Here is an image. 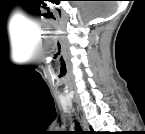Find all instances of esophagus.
Masks as SVG:
<instances>
[{
	"mask_svg": "<svg viewBox=\"0 0 145 134\" xmlns=\"http://www.w3.org/2000/svg\"><path fill=\"white\" fill-rule=\"evenodd\" d=\"M81 123H82L83 130L88 131L89 127H88V124L83 116L81 117Z\"/></svg>",
	"mask_w": 145,
	"mask_h": 134,
	"instance_id": "34e87169",
	"label": "esophagus"
}]
</instances>
